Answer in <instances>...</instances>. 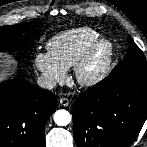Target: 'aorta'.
<instances>
[{"mask_svg":"<svg viewBox=\"0 0 147 147\" xmlns=\"http://www.w3.org/2000/svg\"><path fill=\"white\" fill-rule=\"evenodd\" d=\"M54 122L59 126H66L71 122V115L67 110H57L53 116Z\"/></svg>","mask_w":147,"mask_h":147,"instance_id":"1","label":"aorta"}]
</instances>
